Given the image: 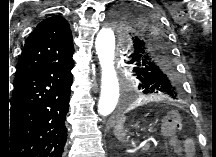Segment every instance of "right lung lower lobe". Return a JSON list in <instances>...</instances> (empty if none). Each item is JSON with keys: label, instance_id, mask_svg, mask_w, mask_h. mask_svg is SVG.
Masks as SVG:
<instances>
[{"label": "right lung lower lobe", "instance_id": "98d812e1", "mask_svg": "<svg viewBox=\"0 0 216 157\" xmlns=\"http://www.w3.org/2000/svg\"><path fill=\"white\" fill-rule=\"evenodd\" d=\"M72 56L14 83L10 112L0 127V156L64 157Z\"/></svg>", "mask_w": 216, "mask_h": 157}]
</instances>
